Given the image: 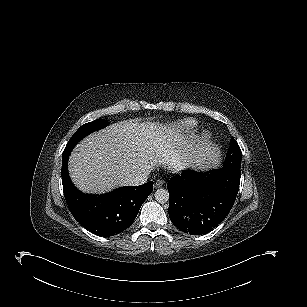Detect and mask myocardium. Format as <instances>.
Returning a JSON list of instances; mask_svg holds the SVG:
<instances>
[{"mask_svg":"<svg viewBox=\"0 0 307 307\" xmlns=\"http://www.w3.org/2000/svg\"><path fill=\"white\" fill-rule=\"evenodd\" d=\"M208 136L209 135L207 132L203 133L199 141L200 142L206 141ZM193 152L194 151L192 150H186V151L180 152L179 154H177L176 156H174L168 161L167 163L168 167L173 170H179V169L185 168L186 166L190 164L191 159L193 157Z\"/></svg>","mask_w":307,"mask_h":307,"instance_id":"obj_1","label":"myocardium"}]
</instances>
